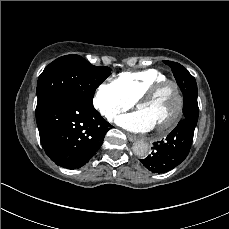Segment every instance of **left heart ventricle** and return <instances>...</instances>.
<instances>
[{
  "mask_svg": "<svg viewBox=\"0 0 229 229\" xmlns=\"http://www.w3.org/2000/svg\"><path fill=\"white\" fill-rule=\"evenodd\" d=\"M176 88L174 85H167L149 103L142 104L138 109L143 112L152 122L155 128L167 126V119L171 114L174 103L172 102L171 90Z\"/></svg>",
  "mask_w": 229,
  "mask_h": 229,
  "instance_id": "left-heart-ventricle-1",
  "label": "left heart ventricle"
}]
</instances>
